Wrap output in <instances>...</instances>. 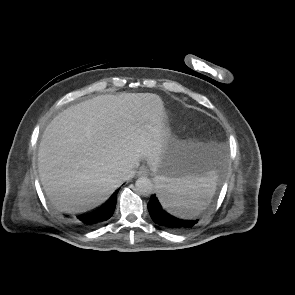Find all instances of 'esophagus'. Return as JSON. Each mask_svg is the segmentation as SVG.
Returning a JSON list of instances; mask_svg holds the SVG:
<instances>
[{
	"label": "esophagus",
	"instance_id": "esophagus-1",
	"mask_svg": "<svg viewBox=\"0 0 295 295\" xmlns=\"http://www.w3.org/2000/svg\"><path fill=\"white\" fill-rule=\"evenodd\" d=\"M148 173H149V170H148V168L145 167V166L140 167V168L138 169V171H137V174H138L139 176H147Z\"/></svg>",
	"mask_w": 295,
	"mask_h": 295
}]
</instances>
